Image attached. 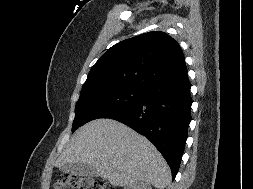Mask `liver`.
I'll return each instance as SVG.
<instances>
[{
  "instance_id": "liver-1",
  "label": "liver",
  "mask_w": 253,
  "mask_h": 189,
  "mask_svg": "<svg viewBox=\"0 0 253 189\" xmlns=\"http://www.w3.org/2000/svg\"><path fill=\"white\" fill-rule=\"evenodd\" d=\"M68 163H86L113 186L135 182L164 189L171 181L168 164L144 136L112 119H96L81 128L56 161L61 168Z\"/></svg>"
}]
</instances>
